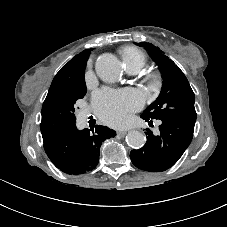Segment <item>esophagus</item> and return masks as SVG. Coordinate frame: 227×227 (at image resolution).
<instances>
[{"mask_svg":"<svg viewBox=\"0 0 227 227\" xmlns=\"http://www.w3.org/2000/svg\"><path fill=\"white\" fill-rule=\"evenodd\" d=\"M127 134V131H117V135L119 136H125Z\"/></svg>","mask_w":227,"mask_h":227,"instance_id":"obj_1","label":"esophagus"}]
</instances>
